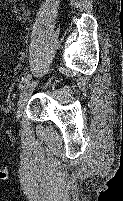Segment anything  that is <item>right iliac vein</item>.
I'll use <instances>...</instances> for the list:
<instances>
[{"mask_svg": "<svg viewBox=\"0 0 123 201\" xmlns=\"http://www.w3.org/2000/svg\"><path fill=\"white\" fill-rule=\"evenodd\" d=\"M38 82L37 81H31L27 83V85L22 89L19 100H18V108L16 111V118L20 119L23 113V109L25 108V105L33 92L34 88L37 86Z\"/></svg>", "mask_w": 123, "mask_h": 201, "instance_id": "1", "label": "right iliac vein"}]
</instances>
